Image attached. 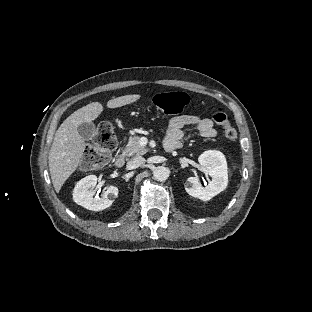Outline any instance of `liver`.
Masks as SVG:
<instances>
[{
  "instance_id": "1",
  "label": "liver",
  "mask_w": 312,
  "mask_h": 312,
  "mask_svg": "<svg viewBox=\"0 0 312 312\" xmlns=\"http://www.w3.org/2000/svg\"><path fill=\"white\" fill-rule=\"evenodd\" d=\"M140 95H125L107 102L108 108L122 107L140 99ZM103 111L99 102H92L67 117L55 133L49 152L48 164L54 189L59 193L70 175L77 169L85 149V141L77 128L84 122H92Z\"/></svg>"
}]
</instances>
